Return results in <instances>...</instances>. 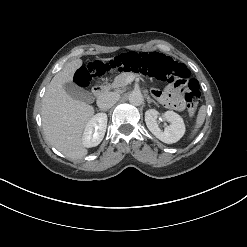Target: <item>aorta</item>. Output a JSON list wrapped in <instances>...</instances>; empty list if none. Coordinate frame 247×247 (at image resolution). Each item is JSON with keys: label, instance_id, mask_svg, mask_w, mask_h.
Here are the masks:
<instances>
[{"label": "aorta", "instance_id": "aorta-1", "mask_svg": "<svg viewBox=\"0 0 247 247\" xmlns=\"http://www.w3.org/2000/svg\"><path fill=\"white\" fill-rule=\"evenodd\" d=\"M129 102L132 105L140 106L143 103V96L139 91H133L129 94Z\"/></svg>", "mask_w": 247, "mask_h": 247}]
</instances>
